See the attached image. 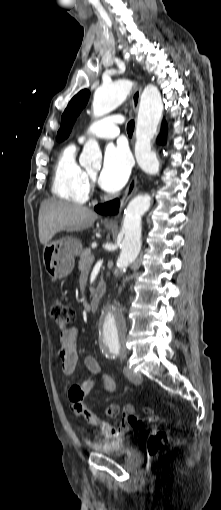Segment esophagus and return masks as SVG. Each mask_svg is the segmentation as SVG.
<instances>
[{
	"mask_svg": "<svg viewBox=\"0 0 221 510\" xmlns=\"http://www.w3.org/2000/svg\"><path fill=\"white\" fill-rule=\"evenodd\" d=\"M141 90H142V88L140 86H136L133 91L132 107H133V110L135 113H137V111H138ZM136 190H137V176L134 174L132 176V178L130 179V182H129V184H128L126 190L124 191V194L120 200L119 212H121V210L124 208V206L129 201V199L133 196V194L136 192ZM117 217H118V215L107 216L104 219V222L106 224L116 226L117 225Z\"/></svg>",
	"mask_w": 221,
	"mask_h": 510,
	"instance_id": "esophagus-1",
	"label": "esophagus"
}]
</instances>
